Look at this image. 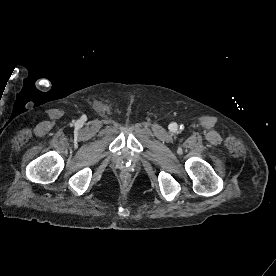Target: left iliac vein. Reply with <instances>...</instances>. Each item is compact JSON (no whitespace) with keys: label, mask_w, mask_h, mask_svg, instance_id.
I'll list each match as a JSON object with an SVG mask.
<instances>
[{"label":"left iliac vein","mask_w":276,"mask_h":276,"mask_svg":"<svg viewBox=\"0 0 276 276\" xmlns=\"http://www.w3.org/2000/svg\"><path fill=\"white\" fill-rule=\"evenodd\" d=\"M173 128H176V125L175 124H172Z\"/></svg>","instance_id":"4c4485c4"}]
</instances>
